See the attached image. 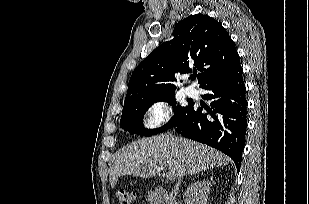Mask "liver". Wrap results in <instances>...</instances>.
<instances>
[{"mask_svg": "<svg viewBox=\"0 0 309 204\" xmlns=\"http://www.w3.org/2000/svg\"><path fill=\"white\" fill-rule=\"evenodd\" d=\"M228 158L221 152L191 141L169 135L139 139L130 144L115 160L110 172L114 188L123 175L151 178L158 174L161 165L179 175H193L201 171L227 165Z\"/></svg>", "mask_w": 309, "mask_h": 204, "instance_id": "liver-1", "label": "liver"}]
</instances>
